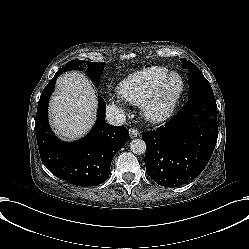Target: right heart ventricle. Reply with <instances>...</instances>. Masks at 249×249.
<instances>
[{
	"instance_id": "e07e8e85",
	"label": "right heart ventricle",
	"mask_w": 249,
	"mask_h": 249,
	"mask_svg": "<svg viewBox=\"0 0 249 249\" xmlns=\"http://www.w3.org/2000/svg\"><path fill=\"white\" fill-rule=\"evenodd\" d=\"M168 69L152 66L130 74L119 86V93L130 103L142 105L157 89Z\"/></svg>"
}]
</instances>
